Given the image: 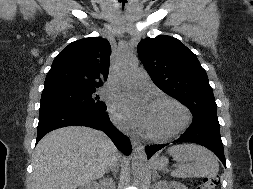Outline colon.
I'll list each match as a JSON object with an SVG mask.
<instances>
[{"instance_id": "obj_1", "label": "colon", "mask_w": 253, "mask_h": 189, "mask_svg": "<svg viewBox=\"0 0 253 189\" xmlns=\"http://www.w3.org/2000/svg\"><path fill=\"white\" fill-rule=\"evenodd\" d=\"M219 183L218 176L203 178L197 189H215Z\"/></svg>"}]
</instances>
